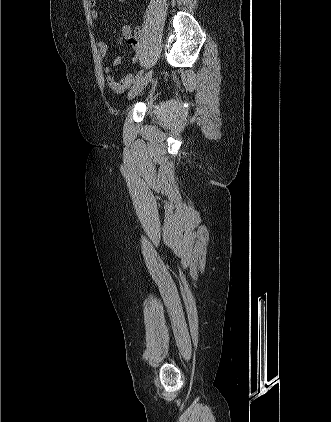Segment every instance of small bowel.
I'll list each match as a JSON object with an SVG mask.
<instances>
[{
    "label": "small bowel",
    "instance_id": "c3829d8e",
    "mask_svg": "<svg viewBox=\"0 0 331 422\" xmlns=\"http://www.w3.org/2000/svg\"><path fill=\"white\" fill-rule=\"evenodd\" d=\"M117 1L119 3L124 2V0H117ZM88 3L90 5V7L92 8L90 15H91L92 19L94 21H96L98 19V16H99L98 11L95 9V7L97 5V0H88ZM121 35H122L121 40H126L128 42V44L131 45L136 50V54L132 58V61L137 62L138 59H139V55H140V42H139L140 30L138 28H136L133 31L132 27L130 26V24L128 22V16L127 15L124 16V25L121 28ZM97 46H98V50H99L101 57H103V58L107 57L108 51H109L108 44L105 41L100 40V41H98ZM120 61L121 60H120L119 57H115V58H113L111 63L104 64V66H103V73L105 74V76L107 78L109 86L116 93H122L124 90H126L130 86V84L134 80V77L131 73H126L122 78H120L118 80H116L112 77V75H111L112 69H113V67H116L117 65H119Z\"/></svg>",
    "mask_w": 331,
    "mask_h": 422
}]
</instances>
